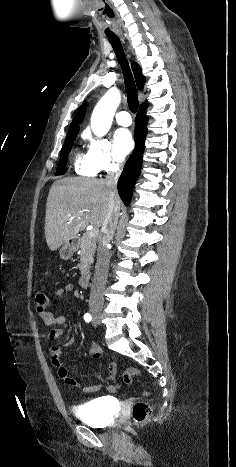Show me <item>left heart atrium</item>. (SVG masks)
I'll list each match as a JSON object with an SVG mask.
<instances>
[{"label":"left heart atrium","mask_w":236,"mask_h":467,"mask_svg":"<svg viewBox=\"0 0 236 467\" xmlns=\"http://www.w3.org/2000/svg\"><path fill=\"white\" fill-rule=\"evenodd\" d=\"M116 151L122 159L133 148V138L128 129H118L114 135Z\"/></svg>","instance_id":"obj_1"}]
</instances>
